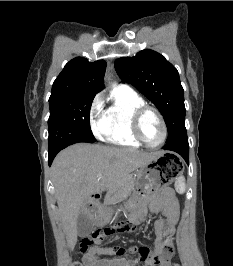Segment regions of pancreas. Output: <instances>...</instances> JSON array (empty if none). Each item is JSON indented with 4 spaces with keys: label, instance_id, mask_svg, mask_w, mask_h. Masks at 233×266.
<instances>
[{
    "label": "pancreas",
    "instance_id": "1",
    "mask_svg": "<svg viewBox=\"0 0 233 266\" xmlns=\"http://www.w3.org/2000/svg\"><path fill=\"white\" fill-rule=\"evenodd\" d=\"M137 185L136 177L133 175L128 176L119 186L111 189L106 197V204H116L125 199L134 190Z\"/></svg>",
    "mask_w": 233,
    "mask_h": 266
}]
</instances>
